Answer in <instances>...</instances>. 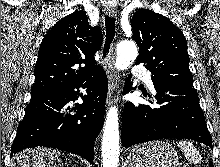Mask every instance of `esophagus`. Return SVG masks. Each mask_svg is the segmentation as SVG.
<instances>
[{
    "instance_id": "obj_1",
    "label": "esophagus",
    "mask_w": 220,
    "mask_h": 167,
    "mask_svg": "<svg viewBox=\"0 0 220 167\" xmlns=\"http://www.w3.org/2000/svg\"><path fill=\"white\" fill-rule=\"evenodd\" d=\"M105 13L108 16H115L117 13V9L114 6H107L105 8ZM114 50L112 49V53L109 56V59L105 65L106 74L108 77V96H107V103L109 104L112 98L114 91L118 88L119 83V74L114 68Z\"/></svg>"
}]
</instances>
